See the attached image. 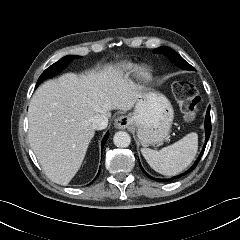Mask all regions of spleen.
I'll return each mask as SVG.
<instances>
[{"instance_id":"spleen-1","label":"spleen","mask_w":240,"mask_h":240,"mask_svg":"<svg viewBox=\"0 0 240 240\" xmlns=\"http://www.w3.org/2000/svg\"><path fill=\"white\" fill-rule=\"evenodd\" d=\"M197 150L198 136L192 132L159 151L142 148L141 153L153 170L163 175L173 176L191 164Z\"/></svg>"}]
</instances>
